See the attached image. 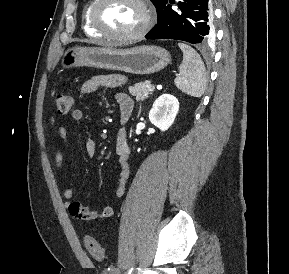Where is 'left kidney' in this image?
<instances>
[{
	"label": "left kidney",
	"mask_w": 289,
	"mask_h": 274,
	"mask_svg": "<svg viewBox=\"0 0 289 274\" xmlns=\"http://www.w3.org/2000/svg\"><path fill=\"white\" fill-rule=\"evenodd\" d=\"M178 110V99L171 94H163L153 103L149 120L161 131H166L173 124Z\"/></svg>",
	"instance_id": "left-kidney-1"
}]
</instances>
